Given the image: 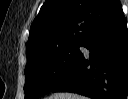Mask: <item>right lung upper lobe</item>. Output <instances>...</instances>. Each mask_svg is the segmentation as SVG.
<instances>
[{"instance_id": "obj_1", "label": "right lung upper lobe", "mask_w": 128, "mask_h": 99, "mask_svg": "<svg viewBox=\"0 0 128 99\" xmlns=\"http://www.w3.org/2000/svg\"><path fill=\"white\" fill-rule=\"evenodd\" d=\"M121 7L119 0H47L30 27L27 58L83 42Z\"/></svg>"}]
</instances>
